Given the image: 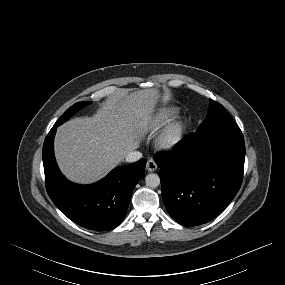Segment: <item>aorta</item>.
<instances>
[{"instance_id":"aorta-1","label":"aorta","mask_w":285,"mask_h":285,"mask_svg":"<svg viewBox=\"0 0 285 285\" xmlns=\"http://www.w3.org/2000/svg\"><path fill=\"white\" fill-rule=\"evenodd\" d=\"M145 183L151 188H156L160 185V177L157 174L150 173L146 176Z\"/></svg>"}]
</instances>
